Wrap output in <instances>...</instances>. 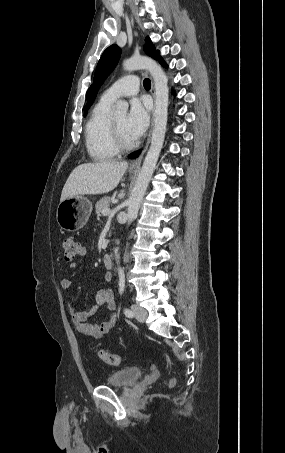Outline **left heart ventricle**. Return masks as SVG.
<instances>
[{
    "mask_svg": "<svg viewBox=\"0 0 285 453\" xmlns=\"http://www.w3.org/2000/svg\"><path fill=\"white\" fill-rule=\"evenodd\" d=\"M126 119H127V116L126 114H121V115H118L114 118V121L115 123L117 124L119 130H120V133L121 135L123 136V138L126 140V141H133L135 139H133L128 131H127V128H126Z\"/></svg>",
    "mask_w": 285,
    "mask_h": 453,
    "instance_id": "left-heart-ventricle-1",
    "label": "left heart ventricle"
}]
</instances>
